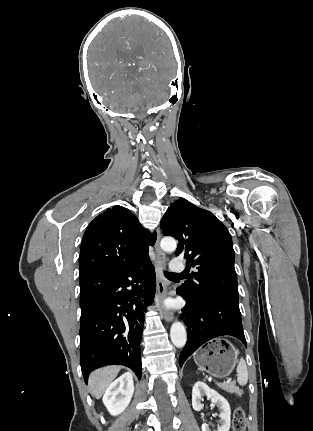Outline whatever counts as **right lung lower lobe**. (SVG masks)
Masks as SVG:
<instances>
[{
	"mask_svg": "<svg viewBox=\"0 0 313 431\" xmlns=\"http://www.w3.org/2000/svg\"><path fill=\"white\" fill-rule=\"evenodd\" d=\"M79 284L80 364L85 381L94 369L113 364L127 366L141 378L140 339L146 306L155 294L149 257L132 267L80 277Z\"/></svg>",
	"mask_w": 313,
	"mask_h": 431,
	"instance_id": "98d812e1",
	"label": "right lung lower lobe"
}]
</instances>
